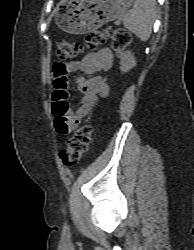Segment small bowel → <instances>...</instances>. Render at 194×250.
<instances>
[{
    "label": "small bowel",
    "mask_w": 194,
    "mask_h": 250,
    "mask_svg": "<svg viewBox=\"0 0 194 250\" xmlns=\"http://www.w3.org/2000/svg\"><path fill=\"white\" fill-rule=\"evenodd\" d=\"M113 63V53L108 48L86 54L81 60L71 63H57L54 65L55 93H64L68 96L67 74L80 71L86 75L109 70ZM79 90L83 93L77 108L73 109L66 101L60 100L62 109L54 112L56 117L55 128L62 136L70 135L75 128L92 112L99 96L108 93L109 87L104 77L96 75L90 79L77 80Z\"/></svg>",
    "instance_id": "small-bowel-1"
}]
</instances>
